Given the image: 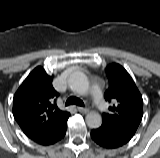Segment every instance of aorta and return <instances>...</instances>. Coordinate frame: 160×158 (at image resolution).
I'll return each instance as SVG.
<instances>
[{"instance_id":"obj_1","label":"aorta","mask_w":160,"mask_h":158,"mask_svg":"<svg viewBox=\"0 0 160 158\" xmlns=\"http://www.w3.org/2000/svg\"><path fill=\"white\" fill-rule=\"evenodd\" d=\"M71 89L79 94H85L89 89V81L85 74L77 72L69 79ZM86 123L90 128H98L102 124V116L98 112H90L86 115Z\"/></svg>"}]
</instances>
